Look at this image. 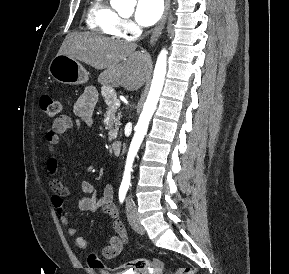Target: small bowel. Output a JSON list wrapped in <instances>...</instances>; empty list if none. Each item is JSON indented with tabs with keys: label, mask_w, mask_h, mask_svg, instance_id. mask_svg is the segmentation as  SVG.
<instances>
[{
	"label": "small bowel",
	"mask_w": 289,
	"mask_h": 274,
	"mask_svg": "<svg viewBox=\"0 0 289 274\" xmlns=\"http://www.w3.org/2000/svg\"><path fill=\"white\" fill-rule=\"evenodd\" d=\"M97 102V92L95 89L89 88L82 96H80L74 105L75 114L78 117L76 126L80 127L83 123L91 126L93 123L92 115ZM74 126L73 119L68 115L57 117L51 124L46 134L47 157L46 168L49 179V186L52 191L51 204L56 210L61 223L67 226V232L70 236H75L76 246L82 250L87 249L88 242L78 236V230L69 226L68 212L64 205V199L69 196V189L57 177L58 160L56 157L57 147L60 143L61 135L71 130ZM82 197L78 201L80 211H97L102 210L112 219V227L115 232L109 239L108 245L102 250V255L106 259L115 258L121 253L127 243V233L121 220L119 219L118 209L114 203V189L111 183H108L101 197H97L94 186L89 181L81 183Z\"/></svg>",
	"instance_id": "1"
}]
</instances>
